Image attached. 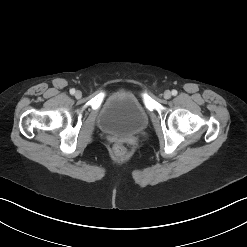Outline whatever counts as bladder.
Masks as SVG:
<instances>
[{
    "label": "bladder",
    "mask_w": 247,
    "mask_h": 247,
    "mask_svg": "<svg viewBox=\"0 0 247 247\" xmlns=\"http://www.w3.org/2000/svg\"><path fill=\"white\" fill-rule=\"evenodd\" d=\"M102 131L116 135H138L148 124V115L135 93L116 91L104 100L98 115Z\"/></svg>",
    "instance_id": "1"
}]
</instances>
